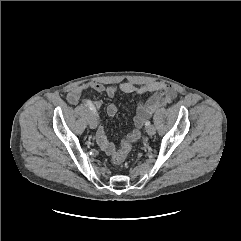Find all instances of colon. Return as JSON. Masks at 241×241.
<instances>
[{
  "label": "colon",
  "instance_id": "1",
  "mask_svg": "<svg viewBox=\"0 0 241 241\" xmlns=\"http://www.w3.org/2000/svg\"><path fill=\"white\" fill-rule=\"evenodd\" d=\"M130 149L131 143L127 139H123L121 142V149L114 153L111 158L112 165L115 167L121 166L124 163L128 153L130 152Z\"/></svg>",
  "mask_w": 241,
  "mask_h": 241
}]
</instances>
